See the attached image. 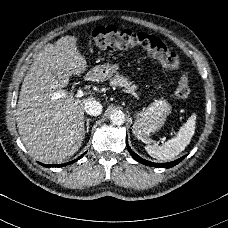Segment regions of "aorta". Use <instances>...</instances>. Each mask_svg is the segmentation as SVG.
<instances>
[{
  "mask_svg": "<svg viewBox=\"0 0 228 228\" xmlns=\"http://www.w3.org/2000/svg\"><path fill=\"white\" fill-rule=\"evenodd\" d=\"M110 121L114 125L121 126L125 122V115L122 111H115L110 115Z\"/></svg>",
  "mask_w": 228,
  "mask_h": 228,
  "instance_id": "762f6f07",
  "label": "aorta"
}]
</instances>
